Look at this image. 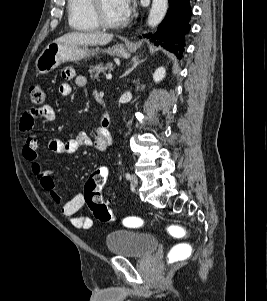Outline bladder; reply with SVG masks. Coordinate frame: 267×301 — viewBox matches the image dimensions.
Returning a JSON list of instances; mask_svg holds the SVG:
<instances>
[{"label": "bladder", "mask_w": 267, "mask_h": 301, "mask_svg": "<svg viewBox=\"0 0 267 301\" xmlns=\"http://www.w3.org/2000/svg\"><path fill=\"white\" fill-rule=\"evenodd\" d=\"M105 243L110 254L136 258L150 256L159 246L155 235L132 230L112 231L107 234Z\"/></svg>", "instance_id": "31cf9c89"}]
</instances>
